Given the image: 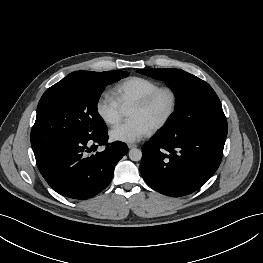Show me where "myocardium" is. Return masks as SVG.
Wrapping results in <instances>:
<instances>
[{
    "instance_id": "f54148a6",
    "label": "myocardium",
    "mask_w": 263,
    "mask_h": 263,
    "mask_svg": "<svg viewBox=\"0 0 263 263\" xmlns=\"http://www.w3.org/2000/svg\"><path fill=\"white\" fill-rule=\"evenodd\" d=\"M163 93H166L170 97V108L168 112L164 115L162 119H160L153 127L152 131H158L165 127L170 120L175 115L177 108H178V95L177 92L168 86H160L151 93H149L147 96L139 100L138 102L134 103L132 105V108H139V109H146L149 106L152 105V103L157 99V97Z\"/></svg>"
}]
</instances>
